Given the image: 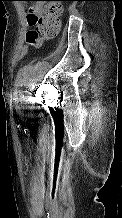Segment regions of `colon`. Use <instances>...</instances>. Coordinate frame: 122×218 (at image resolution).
<instances>
[{"instance_id": "obj_1", "label": "colon", "mask_w": 122, "mask_h": 218, "mask_svg": "<svg viewBox=\"0 0 122 218\" xmlns=\"http://www.w3.org/2000/svg\"><path fill=\"white\" fill-rule=\"evenodd\" d=\"M29 2H44V9L41 15L29 11L27 23L29 26H36L35 30L27 33V42L31 45H39L43 41L51 40L57 36L60 29V16L62 5L60 0H25Z\"/></svg>"}]
</instances>
